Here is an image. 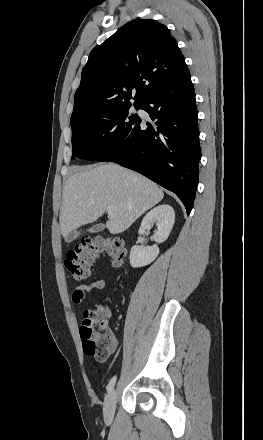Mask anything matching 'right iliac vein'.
I'll return each instance as SVG.
<instances>
[{
	"mask_svg": "<svg viewBox=\"0 0 263 440\" xmlns=\"http://www.w3.org/2000/svg\"><path fill=\"white\" fill-rule=\"evenodd\" d=\"M116 400L117 390L113 389L107 396L103 409L104 420L107 424H111L113 422Z\"/></svg>",
	"mask_w": 263,
	"mask_h": 440,
	"instance_id": "right-iliac-vein-1",
	"label": "right iliac vein"
}]
</instances>
